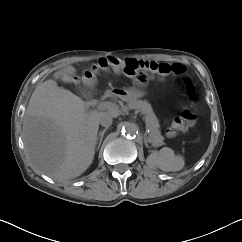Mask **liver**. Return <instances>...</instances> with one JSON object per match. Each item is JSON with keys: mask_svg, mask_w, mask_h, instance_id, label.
<instances>
[{"mask_svg": "<svg viewBox=\"0 0 242 242\" xmlns=\"http://www.w3.org/2000/svg\"><path fill=\"white\" fill-rule=\"evenodd\" d=\"M76 69L65 66L55 79L72 82ZM87 97V95H84ZM114 117L120 112L109 111ZM85 102L55 80L38 84L23 119V139L32 167L57 181L74 179L92 164L99 118Z\"/></svg>", "mask_w": 242, "mask_h": 242, "instance_id": "6515ba94", "label": "liver"}]
</instances>
